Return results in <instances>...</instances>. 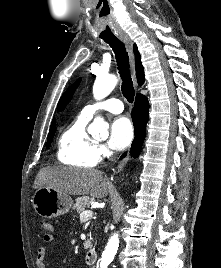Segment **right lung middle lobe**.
I'll use <instances>...</instances> for the list:
<instances>
[{
	"label": "right lung middle lobe",
	"instance_id": "dd1d6c3e",
	"mask_svg": "<svg viewBox=\"0 0 221 268\" xmlns=\"http://www.w3.org/2000/svg\"><path fill=\"white\" fill-rule=\"evenodd\" d=\"M55 130H56V128L53 127V128H51L50 131H49V134H48V137H47V147H49L50 144H51V142H52V139H53L54 134H55Z\"/></svg>",
	"mask_w": 221,
	"mask_h": 268
}]
</instances>
